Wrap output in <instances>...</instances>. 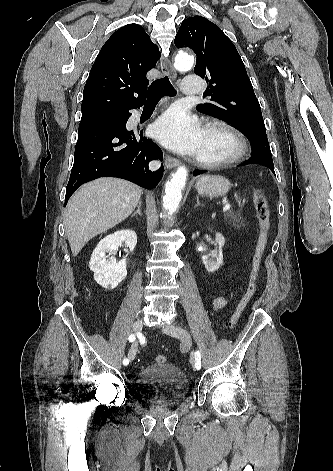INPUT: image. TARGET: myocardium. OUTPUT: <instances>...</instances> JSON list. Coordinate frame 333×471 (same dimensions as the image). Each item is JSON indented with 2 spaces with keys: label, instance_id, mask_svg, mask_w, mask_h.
Here are the masks:
<instances>
[{
  "label": "myocardium",
  "instance_id": "obj_1",
  "mask_svg": "<svg viewBox=\"0 0 333 471\" xmlns=\"http://www.w3.org/2000/svg\"><path fill=\"white\" fill-rule=\"evenodd\" d=\"M219 130L226 134L232 143L231 152L221 158H205L197 155L196 163L204 168H218L240 161L247 153V142L243 134L231 124L222 120H212L205 124L204 131Z\"/></svg>",
  "mask_w": 333,
  "mask_h": 471
}]
</instances>
